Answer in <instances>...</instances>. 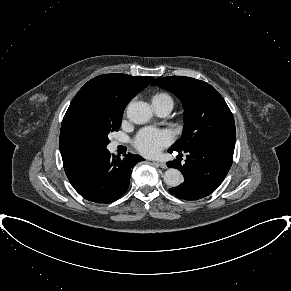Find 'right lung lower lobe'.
I'll list each match as a JSON object with an SVG mask.
<instances>
[{
    "instance_id": "obj_1",
    "label": "right lung lower lobe",
    "mask_w": 291,
    "mask_h": 291,
    "mask_svg": "<svg viewBox=\"0 0 291 291\" xmlns=\"http://www.w3.org/2000/svg\"><path fill=\"white\" fill-rule=\"evenodd\" d=\"M141 160V156L131 153L120 159L107 150L68 179L83 198L96 203H110L127 191L131 170Z\"/></svg>"
}]
</instances>
